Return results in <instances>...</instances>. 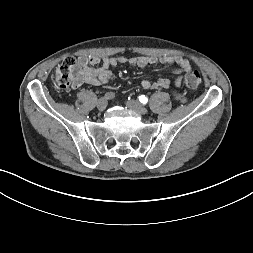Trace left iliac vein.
Wrapping results in <instances>:
<instances>
[{"mask_svg": "<svg viewBox=\"0 0 253 253\" xmlns=\"http://www.w3.org/2000/svg\"><path fill=\"white\" fill-rule=\"evenodd\" d=\"M126 105L129 109L133 110L138 114L144 115L147 113V109L145 108V106L136 100H128L126 102Z\"/></svg>", "mask_w": 253, "mask_h": 253, "instance_id": "4c4485c4", "label": "left iliac vein"}]
</instances>
